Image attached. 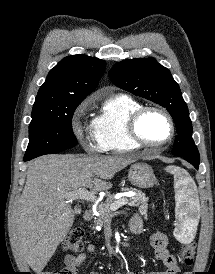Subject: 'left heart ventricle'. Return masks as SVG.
I'll use <instances>...</instances> for the list:
<instances>
[{"mask_svg":"<svg viewBox=\"0 0 215 274\" xmlns=\"http://www.w3.org/2000/svg\"><path fill=\"white\" fill-rule=\"evenodd\" d=\"M139 131L145 140L159 143L168 138L170 126L164 116L157 112H149L141 119Z\"/></svg>","mask_w":215,"mask_h":274,"instance_id":"1","label":"left heart ventricle"}]
</instances>
